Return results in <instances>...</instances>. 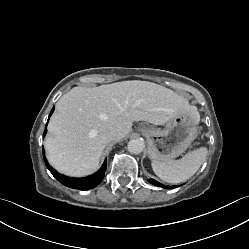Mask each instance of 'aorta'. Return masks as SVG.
Returning a JSON list of instances; mask_svg holds the SVG:
<instances>
[{"instance_id":"obj_1","label":"aorta","mask_w":249,"mask_h":249,"mask_svg":"<svg viewBox=\"0 0 249 249\" xmlns=\"http://www.w3.org/2000/svg\"><path fill=\"white\" fill-rule=\"evenodd\" d=\"M127 146L131 154H140L145 147L142 139H132L128 142Z\"/></svg>"}]
</instances>
